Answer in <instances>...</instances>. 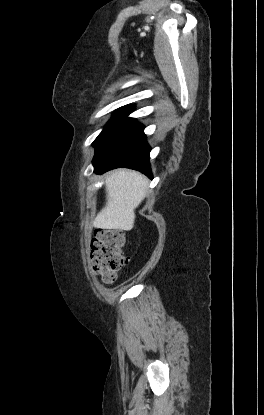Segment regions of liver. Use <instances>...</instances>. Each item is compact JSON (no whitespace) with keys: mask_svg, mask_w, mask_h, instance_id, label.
I'll use <instances>...</instances> for the list:
<instances>
[{"mask_svg":"<svg viewBox=\"0 0 264 415\" xmlns=\"http://www.w3.org/2000/svg\"><path fill=\"white\" fill-rule=\"evenodd\" d=\"M148 179L141 173L117 169L106 180V205L93 221L96 228L129 231L135 222V209L146 194Z\"/></svg>","mask_w":264,"mask_h":415,"instance_id":"obj_1","label":"liver"}]
</instances>
